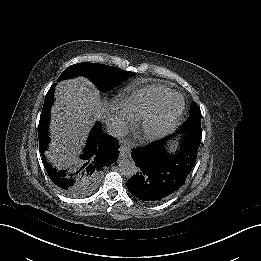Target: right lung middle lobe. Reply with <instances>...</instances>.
Here are the masks:
<instances>
[{
	"mask_svg": "<svg viewBox=\"0 0 261 261\" xmlns=\"http://www.w3.org/2000/svg\"><path fill=\"white\" fill-rule=\"evenodd\" d=\"M80 74L90 78L100 90H109L131 76L133 72L97 63H78L64 70L59 80ZM89 164V158H78V161H65L57 167L58 173H63L65 178H73L75 180L74 190L72 192L65 191L66 193L81 194L82 188L86 183L95 181L96 177L87 175L86 170Z\"/></svg>",
	"mask_w": 261,
	"mask_h": 261,
	"instance_id": "1",
	"label": "right lung middle lobe"
}]
</instances>
